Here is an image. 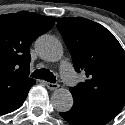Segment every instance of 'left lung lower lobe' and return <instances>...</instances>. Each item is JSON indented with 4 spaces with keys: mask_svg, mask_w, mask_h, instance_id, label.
<instances>
[{
    "mask_svg": "<svg viewBox=\"0 0 125 125\" xmlns=\"http://www.w3.org/2000/svg\"><path fill=\"white\" fill-rule=\"evenodd\" d=\"M124 105L114 101H95L84 103L74 99L72 108L59 113L72 125H105L123 109Z\"/></svg>",
    "mask_w": 125,
    "mask_h": 125,
    "instance_id": "obj_1",
    "label": "left lung lower lobe"
}]
</instances>
